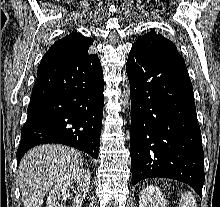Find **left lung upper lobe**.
<instances>
[{"instance_id":"5c2ea615","label":"left lung upper lobe","mask_w":220,"mask_h":207,"mask_svg":"<svg viewBox=\"0 0 220 207\" xmlns=\"http://www.w3.org/2000/svg\"><path fill=\"white\" fill-rule=\"evenodd\" d=\"M133 46L160 54L169 53L179 55L177 47L172 41L164 38L161 34H157L154 31L138 37Z\"/></svg>"}]
</instances>
